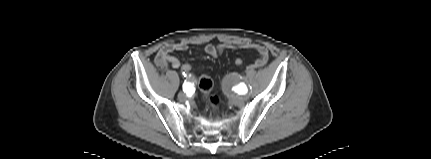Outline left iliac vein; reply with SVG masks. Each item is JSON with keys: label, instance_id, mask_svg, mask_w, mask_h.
Segmentation results:
<instances>
[{"label": "left iliac vein", "instance_id": "left-iliac-vein-1", "mask_svg": "<svg viewBox=\"0 0 431 159\" xmlns=\"http://www.w3.org/2000/svg\"><path fill=\"white\" fill-rule=\"evenodd\" d=\"M243 100H244V98H238V99L236 100V103H237V104H242V103H243Z\"/></svg>", "mask_w": 431, "mask_h": 159}]
</instances>
